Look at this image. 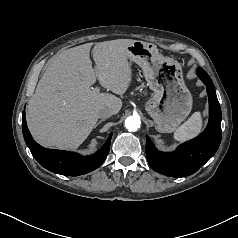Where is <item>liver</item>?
<instances>
[{"mask_svg":"<svg viewBox=\"0 0 238 238\" xmlns=\"http://www.w3.org/2000/svg\"><path fill=\"white\" fill-rule=\"evenodd\" d=\"M135 40L117 39L63 51L52 59L28 102V128L42 146L76 149L89 136L98 120V110L110 107L117 114L122 100L91 86L99 83L123 95L132 80L127 46Z\"/></svg>","mask_w":238,"mask_h":238,"instance_id":"obj_1","label":"liver"}]
</instances>
